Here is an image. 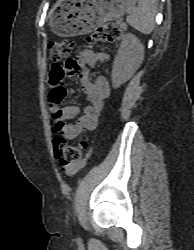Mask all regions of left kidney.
I'll list each match as a JSON object with an SVG mask.
<instances>
[{"instance_id":"left-kidney-1","label":"left kidney","mask_w":194,"mask_h":250,"mask_svg":"<svg viewBox=\"0 0 194 250\" xmlns=\"http://www.w3.org/2000/svg\"><path fill=\"white\" fill-rule=\"evenodd\" d=\"M144 59V45L133 34L124 36L114 60L112 83L120 86L128 81Z\"/></svg>"}]
</instances>
